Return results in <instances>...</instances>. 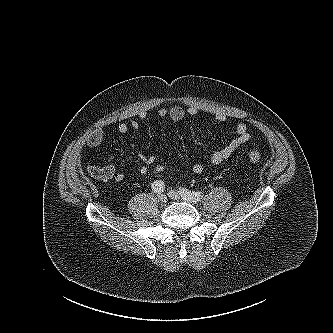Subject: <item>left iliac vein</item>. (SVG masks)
<instances>
[{
  "mask_svg": "<svg viewBox=\"0 0 333 333\" xmlns=\"http://www.w3.org/2000/svg\"><path fill=\"white\" fill-rule=\"evenodd\" d=\"M167 194H168V196L171 199H174V200H183V201L188 202V203H194L191 199H189L188 197H186L180 191L170 190Z\"/></svg>",
  "mask_w": 333,
  "mask_h": 333,
  "instance_id": "1",
  "label": "left iliac vein"
}]
</instances>
